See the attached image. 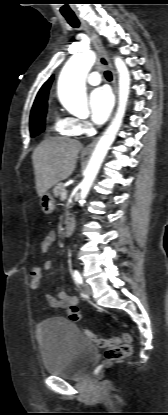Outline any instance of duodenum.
<instances>
[{
    "instance_id": "duodenum-1",
    "label": "duodenum",
    "mask_w": 168,
    "mask_h": 415,
    "mask_svg": "<svg viewBox=\"0 0 168 415\" xmlns=\"http://www.w3.org/2000/svg\"><path fill=\"white\" fill-rule=\"evenodd\" d=\"M75 228V221L74 219H70L69 221L66 222L63 232L64 234H71L74 231Z\"/></svg>"
}]
</instances>
